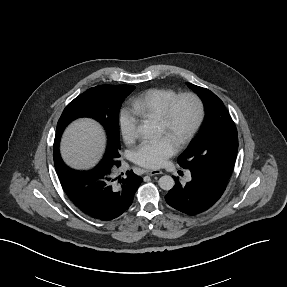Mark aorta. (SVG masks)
Listing matches in <instances>:
<instances>
[{"label": "aorta", "mask_w": 287, "mask_h": 287, "mask_svg": "<svg viewBox=\"0 0 287 287\" xmlns=\"http://www.w3.org/2000/svg\"><path fill=\"white\" fill-rule=\"evenodd\" d=\"M138 132L145 137L153 135V133L155 132V126L151 124L140 125L138 127ZM158 183L160 188L167 191L172 189L175 185L174 179L169 175L162 176L159 179Z\"/></svg>", "instance_id": "762f6f07"}]
</instances>
